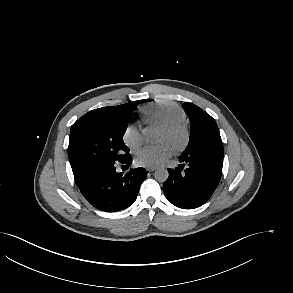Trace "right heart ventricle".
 I'll return each instance as SVG.
<instances>
[{
  "instance_id": "e07e8e85",
  "label": "right heart ventricle",
  "mask_w": 293,
  "mask_h": 293,
  "mask_svg": "<svg viewBox=\"0 0 293 293\" xmlns=\"http://www.w3.org/2000/svg\"><path fill=\"white\" fill-rule=\"evenodd\" d=\"M142 113L145 124L160 127L185 120V113L181 107L171 102L150 105L144 108Z\"/></svg>"
}]
</instances>
